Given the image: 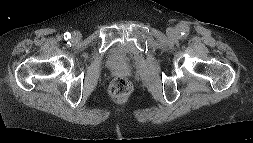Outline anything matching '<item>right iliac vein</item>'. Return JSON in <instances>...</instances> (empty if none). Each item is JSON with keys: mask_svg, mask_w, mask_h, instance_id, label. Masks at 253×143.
I'll list each match as a JSON object with an SVG mask.
<instances>
[{"mask_svg": "<svg viewBox=\"0 0 253 143\" xmlns=\"http://www.w3.org/2000/svg\"><path fill=\"white\" fill-rule=\"evenodd\" d=\"M80 39V34L79 33H73L72 34V40L73 41H78Z\"/></svg>", "mask_w": 253, "mask_h": 143, "instance_id": "right-iliac-vein-1", "label": "right iliac vein"}]
</instances>
